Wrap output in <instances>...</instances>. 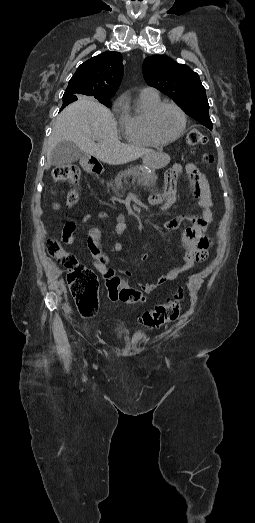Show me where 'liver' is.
<instances>
[{
  "label": "liver",
  "mask_w": 255,
  "mask_h": 523,
  "mask_svg": "<svg viewBox=\"0 0 255 523\" xmlns=\"http://www.w3.org/2000/svg\"><path fill=\"white\" fill-rule=\"evenodd\" d=\"M63 140L74 142L82 152L94 156L100 162L111 164V166L128 164L142 156H144L143 162H147L148 156L155 154L154 150H148V148L121 144L118 140L117 124L113 114L108 108L86 96H81L80 100L67 106L57 116L48 140V166H50L53 148ZM94 140H99V144H95ZM157 154H159V162L164 168L166 164H169L170 158L163 152H157Z\"/></svg>",
  "instance_id": "obj_1"
}]
</instances>
